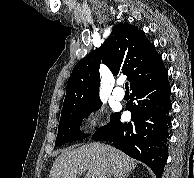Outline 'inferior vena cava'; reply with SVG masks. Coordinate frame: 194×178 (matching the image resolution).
Instances as JSON below:
<instances>
[{
    "instance_id": "1",
    "label": "inferior vena cava",
    "mask_w": 194,
    "mask_h": 178,
    "mask_svg": "<svg viewBox=\"0 0 194 178\" xmlns=\"http://www.w3.org/2000/svg\"><path fill=\"white\" fill-rule=\"evenodd\" d=\"M104 178H111V175L110 173H106L105 177Z\"/></svg>"
}]
</instances>
